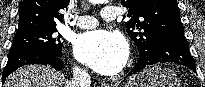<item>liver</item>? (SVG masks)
<instances>
[{"instance_id":"obj_1","label":"liver","mask_w":205,"mask_h":87,"mask_svg":"<svg viewBox=\"0 0 205 87\" xmlns=\"http://www.w3.org/2000/svg\"><path fill=\"white\" fill-rule=\"evenodd\" d=\"M3 87H68V81L51 66L38 64L16 70Z\"/></svg>"}]
</instances>
